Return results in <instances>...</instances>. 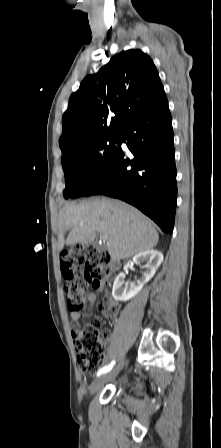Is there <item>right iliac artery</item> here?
Wrapping results in <instances>:
<instances>
[{
    "label": "right iliac artery",
    "instance_id": "82829eb1",
    "mask_svg": "<svg viewBox=\"0 0 221 448\" xmlns=\"http://www.w3.org/2000/svg\"><path fill=\"white\" fill-rule=\"evenodd\" d=\"M114 364H115V362L113 361L110 365L105 366L104 368H102V369L97 373V375L99 376V375H101V374H103V373H106V372L110 371V370L112 369V367H113Z\"/></svg>",
    "mask_w": 221,
    "mask_h": 448
}]
</instances>
